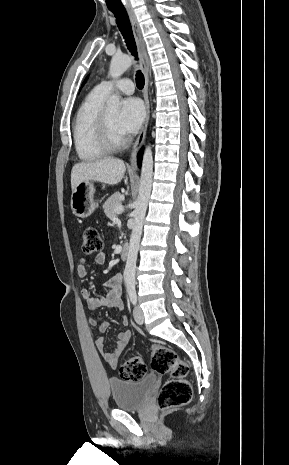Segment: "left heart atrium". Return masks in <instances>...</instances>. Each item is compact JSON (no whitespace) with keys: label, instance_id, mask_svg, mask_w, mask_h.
Listing matches in <instances>:
<instances>
[{"label":"left heart atrium","instance_id":"obj_1","mask_svg":"<svg viewBox=\"0 0 289 465\" xmlns=\"http://www.w3.org/2000/svg\"><path fill=\"white\" fill-rule=\"evenodd\" d=\"M144 117L145 110L141 100L134 97L125 99L117 120L119 131L124 136L136 133Z\"/></svg>","mask_w":289,"mask_h":465}]
</instances>
